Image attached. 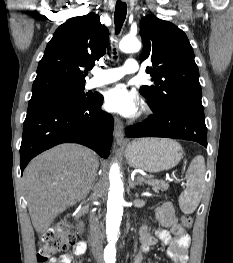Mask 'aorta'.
<instances>
[{"instance_id": "1", "label": "aorta", "mask_w": 233, "mask_h": 263, "mask_svg": "<svg viewBox=\"0 0 233 263\" xmlns=\"http://www.w3.org/2000/svg\"><path fill=\"white\" fill-rule=\"evenodd\" d=\"M141 43L136 37L125 36L119 43V49L125 53L138 52ZM110 183L107 187V216L106 234L108 245L105 249V257L114 260L116 256L115 244L118 240V232L123 215V183L120 178L119 167L115 163L111 166L109 174Z\"/></svg>"}]
</instances>
